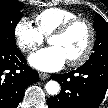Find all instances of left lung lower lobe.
<instances>
[{
  "mask_svg": "<svg viewBox=\"0 0 108 108\" xmlns=\"http://www.w3.org/2000/svg\"><path fill=\"white\" fill-rule=\"evenodd\" d=\"M61 85V92L47 100L48 108H98L108 90V62L85 63L65 74H52ZM70 99L68 93H75Z\"/></svg>",
  "mask_w": 108,
  "mask_h": 108,
  "instance_id": "left-lung-lower-lobe-1",
  "label": "left lung lower lobe"
}]
</instances>
